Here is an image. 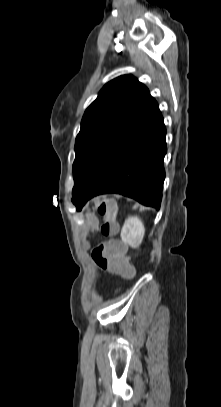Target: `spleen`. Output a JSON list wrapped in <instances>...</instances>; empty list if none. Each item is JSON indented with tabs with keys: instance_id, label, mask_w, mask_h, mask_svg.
I'll use <instances>...</instances> for the list:
<instances>
[{
	"instance_id": "3e777b00",
	"label": "spleen",
	"mask_w": 221,
	"mask_h": 407,
	"mask_svg": "<svg viewBox=\"0 0 221 407\" xmlns=\"http://www.w3.org/2000/svg\"><path fill=\"white\" fill-rule=\"evenodd\" d=\"M145 227L141 219L137 216L128 217L121 230V238L124 243L133 248H137L143 241Z\"/></svg>"
}]
</instances>
